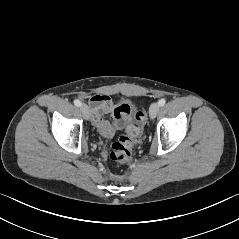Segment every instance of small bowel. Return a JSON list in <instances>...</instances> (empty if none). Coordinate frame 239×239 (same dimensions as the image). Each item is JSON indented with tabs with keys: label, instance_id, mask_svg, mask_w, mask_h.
Here are the masks:
<instances>
[{
	"label": "small bowel",
	"instance_id": "obj_1",
	"mask_svg": "<svg viewBox=\"0 0 239 239\" xmlns=\"http://www.w3.org/2000/svg\"><path fill=\"white\" fill-rule=\"evenodd\" d=\"M89 105L93 124L106 138L112 137L120 130L131 119L135 110L128 102L115 104L106 94L93 95L89 99ZM106 115H109L111 120H107Z\"/></svg>",
	"mask_w": 239,
	"mask_h": 239
}]
</instances>
